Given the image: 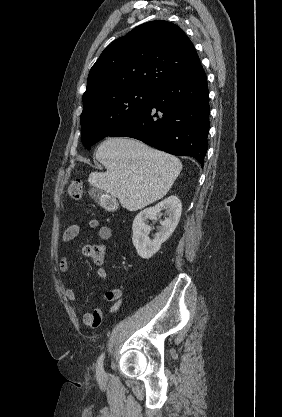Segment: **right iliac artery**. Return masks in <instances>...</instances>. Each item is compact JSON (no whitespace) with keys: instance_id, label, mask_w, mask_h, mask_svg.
Instances as JSON below:
<instances>
[{"instance_id":"obj_1","label":"right iliac artery","mask_w":282,"mask_h":417,"mask_svg":"<svg viewBox=\"0 0 282 417\" xmlns=\"http://www.w3.org/2000/svg\"><path fill=\"white\" fill-rule=\"evenodd\" d=\"M104 356H105V354L102 353L100 355V357L98 358V361H97L96 372H97L98 375H102L104 373V369H103Z\"/></svg>"}]
</instances>
